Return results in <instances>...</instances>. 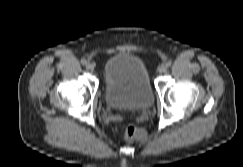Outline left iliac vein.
<instances>
[{"mask_svg":"<svg viewBox=\"0 0 243 167\" xmlns=\"http://www.w3.org/2000/svg\"><path fill=\"white\" fill-rule=\"evenodd\" d=\"M158 70L160 73H165L167 71V66L162 64L159 66Z\"/></svg>","mask_w":243,"mask_h":167,"instance_id":"1","label":"left iliac vein"}]
</instances>
